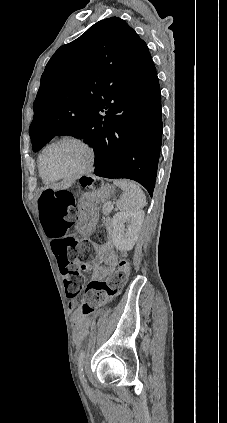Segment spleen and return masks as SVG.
<instances>
[{"instance_id": "3e777b00", "label": "spleen", "mask_w": 227, "mask_h": 423, "mask_svg": "<svg viewBox=\"0 0 227 423\" xmlns=\"http://www.w3.org/2000/svg\"><path fill=\"white\" fill-rule=\"evenodd\" d=\"M114 184L123 190V196L116 202L118 210L138 211L146 206V196L136 182L114 180Z\"/></svg>"}]
</instances>
